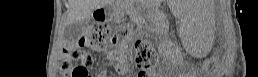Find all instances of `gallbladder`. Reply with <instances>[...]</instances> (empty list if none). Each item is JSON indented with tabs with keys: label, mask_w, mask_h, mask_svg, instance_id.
Returning a JSON list of instances; mask_svg holds the SVG:
<instances>
[{
	"label": "gallbladder",
	"mask_w": 258,
	"mask_h": 77,
	"mask_svg": "<svg viewBox=\"0 0 258 77\" xmlns=\"http://www.w3.org/2000/svg\"><path fill=\"white\" fill-rule=\"evenodd\" d=\"M85 23L86 21L69 24L64 31L65 38L68 41H77L82 35Z\"/></svg>",
	"instance_id": "gallbladder-1"
}]
</instances>
